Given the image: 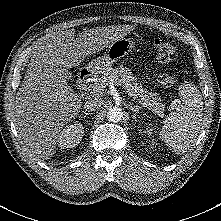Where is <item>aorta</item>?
Masks as SVG:
<instances>
[{
  "mask_svg": "<svg viewBox=\"0 0 221 221\" xmlns=\"http://www.w3.org/2000/svg\"><path fill=\"white\" fill-rule=\"evenodd\" d=\"M107 118L111 122H119L123 118L122 109L119 107L110 108L107 112Z\"/></svg>",
  "mask_w": 221,
  "mask_h": 221,
  "instance_id": "obj_1",
  "label": "aorta"
}]
</instances>
